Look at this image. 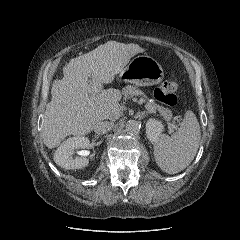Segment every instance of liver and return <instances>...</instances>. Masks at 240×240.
I'll use <instances>...</instances> for the list:
<instances>
[{
	"label": "liver",
	"instance_id": "6515ba94",
	"mask_svg": "<svg viewBox=\"0 0 240 240\" xmlns=\"http://www.w3.org/2000/svg\"><path fill=\"white\" fill-rule=\"evenodd\" d=\"M142 52L137 44L108 41L71 59L63 69L64 77L51 88L52 99L42 125L44 144L55 148L68 135H85L99 121L118 119L120 91L107 89L94 94V88L113 82L130 59Z\"/></svg>",
	"mask_w": 240,
	"mask_h": 240
}]
</instances>
